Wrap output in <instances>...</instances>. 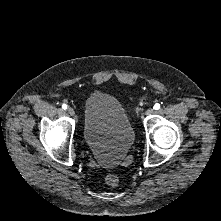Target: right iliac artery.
Returning a JSON list of instances; mask_svg holds the SVG:
<instances>
[{
    "label": "right iliac artery",
    "mask_w": 221,
    "mask_h": 221,
    "mask_svg": "<svg viewBox=\"0 0 221 221\" xmlns=\"http://www.w3.org/2000/svg\"><path fill=\"white\" fill-rule=\"evenodd\" d=\"M62 108H63L64 110H66V109H67V105H66V104H63V105H62Z\"/></svg>",
    "instance_id": "82829eb1"
}]
</instances>
